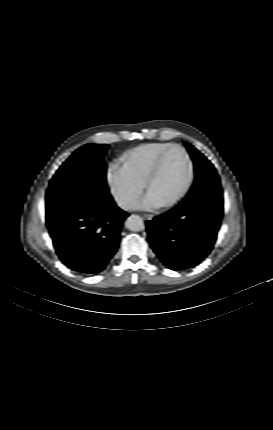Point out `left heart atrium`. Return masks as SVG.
Returning a JSON list of instances; mask_svg holds the SVG:
<instances>
[{
    "instance_id": "obj_1",
    "label": "left heart atrium",
    "mask_w": 273,
    "mask_h": 430,
    "mask_svg": "<svg viewBox=\"0 0 273 430\" xmlns=\"http://www.w3.org/2000/svg\"><path fill=\"white\" fill-rule=\"evenodd\" d=\"M137 206L143 209H153L162 206V202L149 191Z\"/></svg>"
}]
</instances>
